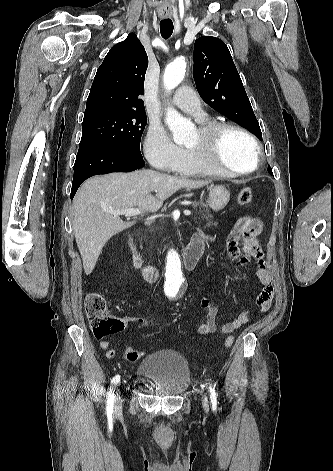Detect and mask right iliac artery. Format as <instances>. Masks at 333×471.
<instances>
[{"instance_id":"right-iliac-artery-1","label":"right iliac artery","mask_w":333,"mask_h":471,"mask_svg":"<svg viewBox=\"0 0 333 471\" xmlns=\"http://www.w3.org/2000/svg\"><path fill=\"white\" fill-rule=\"evenodd\" d=\"M119 381H120L119 375H116L111 381V385L108 392V400H107V412L108 413H112L113 411V404H114V398H115L114 391Z\"/></svg>"}]
</instances>
